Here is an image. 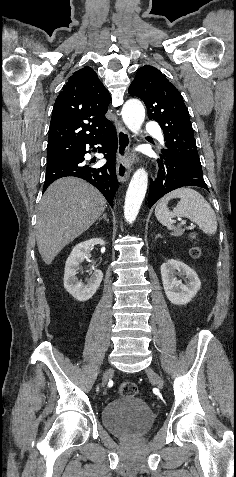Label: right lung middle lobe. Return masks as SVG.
Returning a JSON list of instances; mask_svg holds the SVG:
<instances>
[{
    "instance_id": "dd1d6c3e",
    "label": "right lung middle lobe",
    "mask_w": 236,
    "mask_h": 477,
    "mask_svg": "<svg viewBox=\"0 0 236 477\" xmlns=\"http://www.w3.org/2000/svg\"><path fill=\"white\" fill-rule=\"evenodd\" d=\"M60 160H61V158H52V159H50V161H60ZM48 161H49V160H48Z\"/></svg>"
}]
</instances>
